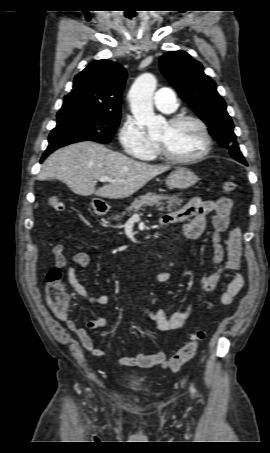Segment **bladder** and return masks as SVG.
Returning a JSON list of instances; mask_svg holds the SVG:
<instances>
[{
  "instance_id": "31cf9c89",
  "label": "bladder",
  "mask_w": 270,
  "mask_h": 453,
  "mask_svg": "<svg viewBox=\"0 0 270 453\" xmlns=\"http://www.w3.org/2000/svg\"><path fill=\"white\" fill-rule=\"evenodd\" d=\"M131 388H138L140 386V381L137 379H132L129 383Z\"/></svg>"
}]
</instances>
